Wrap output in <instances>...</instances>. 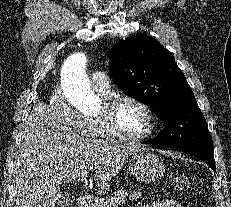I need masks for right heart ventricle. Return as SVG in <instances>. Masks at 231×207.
Masks as SVG:
<instances>
[{"label": "right heart ventricle", "mask_w": 231, "mask_h": 207, "mask_svg": "<svg viewBox=\"0 0 231 207\" xmlns=\"http://www.w3.org/2000/svg\"><path fill=\"white\" fill-rule=\"evenodd\" d=\"M100 95L107 98V93L99 92ZM83 136L90 139H106L109 136L105 132L103 125L97 117H84L83 128L81 130Z\"/></svg>", "instance_id": "obj_1"}]
</instances>
